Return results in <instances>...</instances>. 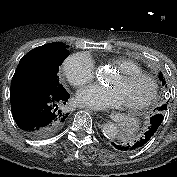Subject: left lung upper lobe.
<instances>
[{
  "label": "left lung upper lobe",
  "mask_w": 177,
  "mask_h": 177,
  "mask_svg": "<svg viewBox=\"0 0 177 177\" xmlns=\"http://www.w3.org/2000/svg\"><path fill=\"white\" fill-rule=\"evenodd\" d=\"M159 77H160V80L162 81L163 86H165V87L167 88L166 81H165V79L163 78V75H162L161 72H160V74H159ZM167 104H168V102H167ZM166 107H167V105L164 104V105H162V106L160 107L159 110H162L161 112L163 113V111L166 110Z\"/></svg>",
  "instance_id": "1"
}]
</instances>
